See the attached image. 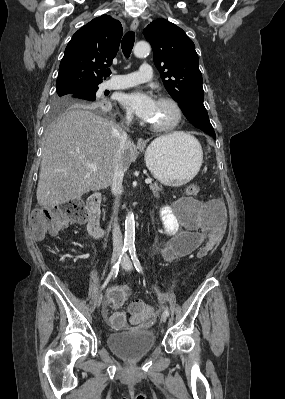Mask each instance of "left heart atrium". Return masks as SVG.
I'll use <instances>...</instances> for the list:
<instances>
[{"label": "left heart atrium", "instance_id": "obj_1", "mask_svg": "<svg viewBox=\"0 0 285 399\" xmlns=\"http://www.w3.org/2000/svg\"><path fill=\"white\" fill-rule=\"evenodd\" d=\"M121 104L140 119L150 122L156 111L157 100L148 92L134 90L121 96Z\"/></svg>", "mask_w": 285, "mask_h": 399}]
</instances>
